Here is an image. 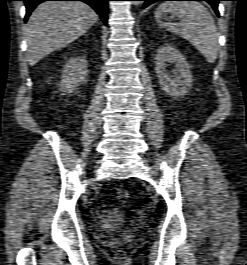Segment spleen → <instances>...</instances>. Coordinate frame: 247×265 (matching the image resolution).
Listing matches in <instances>:
<instances>
[{"mask_svg":"<svg viewBox=\"0 0 247 265\" xmlns=\"http://www.w3.org/2000/svg\"><path fill=\"white\" fill-rule=\"evenodd\" d=\"M166 12L181 21L162 22ZM155 18L161 27L189 41L209 63L215 62L219 49L217 27L204 5L196 1H166L157 8Z\"/></svg>","mask_w":247,"mask_h":265,"instance_id":"obj_1","label":"spleen"}]
</instances>
